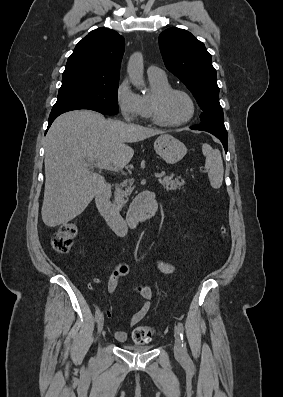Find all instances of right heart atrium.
Listing matches in <instances>:
<instances>
[{
	"instance_id": "d8ad5b80",
	"label": "right heart atrium",
	"mask_w": 283,
	"mask_h": 397,
	"mask_svg": "<svg viewBox=\"0 0 283 397\" xmlns=\"http://www.w3.org/2000/svg\"><path fill=\"white\" fill-rule=\"evenodd\" d=\"M116 102L124 118L136 120L144 116L141 98L127 79H123L117 86Z\"/></svg>"
}]
</instances>
